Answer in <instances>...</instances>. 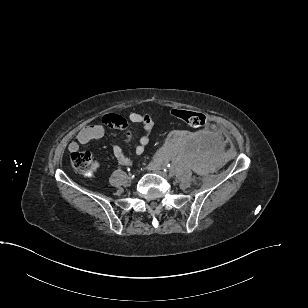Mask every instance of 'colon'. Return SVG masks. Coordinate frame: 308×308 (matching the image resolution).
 Returning <instances> with one entry per match:
<instances>
[{
  "label": "colon",
  "instance_id": "1",
  "mask_svg": "<svg viewBox=\"0 0 308 308\" xmlns=\"http://www.w3.org/2000/svg\"><path fill=\"white\" fill-rule=\"evenodd\" d=\"M171 115L190 127H201L206 123V117L199 112L173 109ZM71 165L79 173L89 176L93 173L92 157L88 151H73L71 153Z\"/></svg>",
  "mask_w": 308,
  "mask_h": 308
}]
</instances>
